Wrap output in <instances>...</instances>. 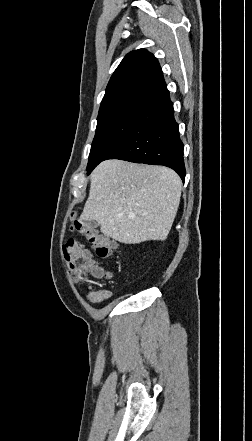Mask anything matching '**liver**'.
<instances>
[{
	"mask_svg": "<svg viewBox=\"0 0 252 441\" xmlns=\"http://www.w3.org/2000/svg\"><path fill=\"white\" fill-rule=\"evenodd\" d=\"M182 181L164 166L121 160L101 162L91 174L81 220L125 244L167 238L180 203Z\"/></svg>",
	"mask_w": 252,
	"mask_h": 441,
	"instance_id": "1",
	"label": "liver"
}]
</instances>
